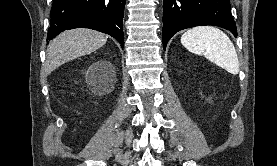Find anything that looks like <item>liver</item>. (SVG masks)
I'll return each mask as SVG.
<instances>
[{
	"instance_id": "obj_1",
	"label": "liver",
	"mask_w": 277,
	"mask_h": 166,
	"mask_svg": "<svg viewBox=\"0 0 277 166\" xmlns=\"http://www.w3.org/2000/svg\"><path fill=\"white\" fill-rule=\"evenodd\" d=\"M108 36L91 29H72L52 40L47 47L44 72L51 73L71 60L90 54L106 44Z\"/></svg>"
}]
</instances>
